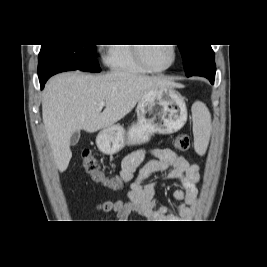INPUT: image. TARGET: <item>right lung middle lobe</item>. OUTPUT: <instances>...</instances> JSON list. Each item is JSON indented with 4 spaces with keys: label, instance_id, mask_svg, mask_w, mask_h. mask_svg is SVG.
Returning <instances> with one entry per match:
<instances>
[{
    "label": "right lung middle lobe",
    "instance_id": "dd1d6c3e",
    "mask_svg": "<svg viewBox=\"0 0 267 267\" xmlns=\"http://www.w3.org/2000/svg\"><path fill=\"white\" fill-rule=\"evenodd\" d=\"M56 59L87 72H100L95 45H41L38 60Z\"/></svg>",
    "mask_w": 267,
    "mask_h": 267
}]
</instances>
